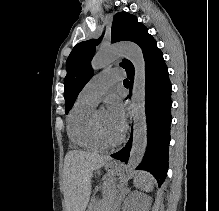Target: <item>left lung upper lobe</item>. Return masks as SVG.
<instances>
[{"instance_id":"5c2ea615","label":"left lung upper lobe","mask_w":219,"mask_h":211,"mask_svg":"<svg viewBox=\"0 0 219 211\" xmlns=\"http://www.w3.org/2000/svg\"><path fill=\"white\" fill-rule=\"evenodd\" d=\"M111 33L112 43L132 41L138 44L142 49L145 61L158 50L157 43L148 33V29L139 23L135 16L127 12H120L115 15ZM101 38L78 43L67 59V75L64 79L66 114L72 108L82 88L92 77L91 60L94 56L96 45L101 41ZM120 66L126 70L127 74L134 71L133 64L129 60L124 59Z\"/></svg>"}]
</instances>
